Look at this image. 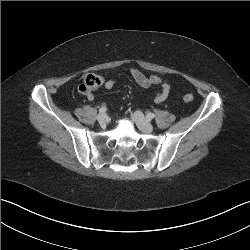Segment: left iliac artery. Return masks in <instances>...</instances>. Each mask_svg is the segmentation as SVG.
I'll list each match as a JSON object with an SVG mask.
<instances>
[{
    "mask_svg": "<svg viewBox=\"0 0 250 250\" xmlns=\"http://www.w3.org/2000/svg\"><path fill=\"white\" fill-rule=\"evenodd\" d=\"M154 117H155V114H154V113H148V114H147V118H148L149 120L153 119Z\"/></svg>",
    "mask_w": 250,
    "mask_h": 250,
    "instance_id": "obj_1",
    "label": "left iliac artery"
}]
</instances>
